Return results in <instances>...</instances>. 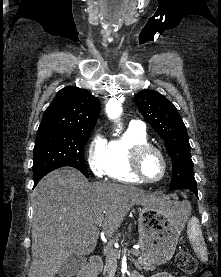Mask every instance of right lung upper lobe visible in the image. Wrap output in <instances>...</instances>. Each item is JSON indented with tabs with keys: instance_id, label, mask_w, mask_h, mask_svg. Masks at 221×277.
<instances>
[{
	"instance_id": "1",
	"label": "right lung upper lobe",
	"mask_w": 221,
	"mask_h": 277,
	"mask_svg": "<svg viewBox=\"0 0 221 277\" xmlns=\"http://www.w3.org/2000/svg\"><path fill=\"white\" fill-rule=\"evenodd\" d=\"M100 114V102L86 89H61L46 109L38 130L93 129Z\"/></svg>"
}]
</instances>
